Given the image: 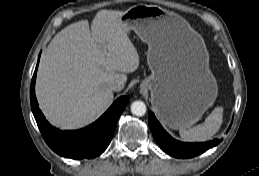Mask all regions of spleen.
<instances>
[{"label":"spleen","mask_w":259,"mask_h":176,"mask_svg":"<svg viewBox=\"0 0 259 176\" xmlns=\"http://www.w3.org/2000/svg\"><path fill=\"white\" fill-rule=\"evenodd\" d=\"M223 122V107H216L205 119L203 124L197 125L188 130L181 129L179 134L187 142H204L212 139L219 131Z\"/></svg>","instance_id":"1"}]
</instances>
